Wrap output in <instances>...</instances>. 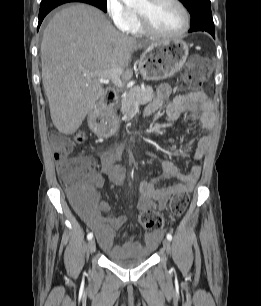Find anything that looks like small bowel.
<instances>
[{
  "mask_svg": "<svg viewBox=\"0 0 261 306\" xmlns=\"http://www.w3.org/2000/svg\"><path fill=\"white\" fill-rule=\"evenodd\" d=\"M171 88L164 84L158 88L157 96L144 109L143 116L150 117L157 112L170 98ZM182 113L188 115V120L198 128L211 130L214 124L213 103L203 92L196 91L175 96L166 106L165 118L167 121L176 120ZM211 143L210 135L203 136L195 149L193 159L195 164L190 172L182 173L177 165L170 160L163 159L164 174L153 181H141L138 185V206L140 209L163 210L169 198L176 192H190L201 174L200 162L206 155ZM126 149L124 144L114 146L106 151L101 158L102 173L96 170L95 161L90 157H83L88 167V185L92 196L83 202L81 216L88 227L95 233L101 248L111 256L137 254L143 250H153L163 238V232L157 231L146 235V244L129 241L122 246H113V239L118 230L127 220L125 216L105 217L103 213L111 207L105 200H100L97 190L104 185L105 177L114 185H121L125 176V168L120 164ZM149 156L156 157L152 152ZM71 158V157H69ZM58 169L66 159L56 153ZM167 180H179L180 183L160 186Z\"/></svg>",
  "mask_w": 261,
  "mask_h": 306,
  "instance_id": "small-bowel-1",
  "label": "small bowel"
}]
</instances>
